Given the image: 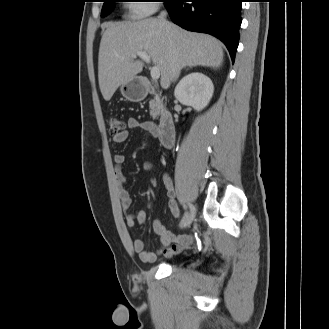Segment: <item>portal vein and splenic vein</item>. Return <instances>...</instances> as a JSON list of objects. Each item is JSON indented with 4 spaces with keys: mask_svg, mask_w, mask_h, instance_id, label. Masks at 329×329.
I'll use <instances>...</instances> for the list:
<instances>
[{
    "mask_svg": "<svg viewBox=\"0 0 329 329\" xmlns=\"http://www.w3.org/2000/svg\"><path fill=\"white\" fill-rule=\"evenodd\" d=\"M139 57L140 59H142L144 62H146L147 64H150L151 60L150 57L144 53V52H138L136 55H134V58ZM150 75L152 77L153 80H157L160 77V70L158 68V66H153L150 69Z\"/></svg>",
    "mask_w": 329,
    "mask_h": 329,
    "instance_id": "18ae733b",
    "label": "portal vein and splenic vein"
}]
</instances>
